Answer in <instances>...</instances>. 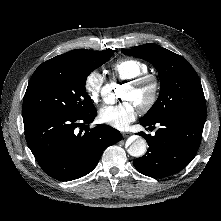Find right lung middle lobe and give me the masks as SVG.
Segmentation results:
<instances>
[{"label":"right lung middle lobe","mask_w":221,"mask_h":221,"mask_svg":"<svg viewBox=\"0 0 221 221\" xmlns=\"http://www.w3.org/2000/svg\"><path fill=\"white\" fill-rule=\"evenodd\" d=\"M114 50L92 51L75 60L52 58L33 73L23 99L22 114L81 117L95 106L85 89L87 76L106 63Z\"/></svg>","instance_id":"obj_1"}]
</instances>
